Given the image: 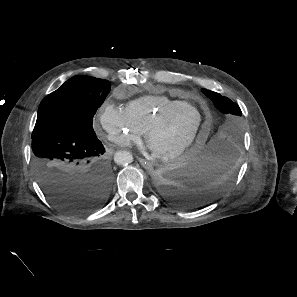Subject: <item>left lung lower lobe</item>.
<instances>
[{"instance_id":"0a47b994","label":"left lung lower lobe","mask_w":297,"mask_h":297,"mask_svg":"<svg viewBox=\"0 0 297 297\" xmlns=\"http://www.w3.org/2000/svg\"><path fill=\"white\" fill-rule=\"evenodd\" d=\"M237 157L238 150L209 140L155 173V183L161 196L172 205L198 208L215 201L230 187Z\"/></svg>"}]
</instances>
